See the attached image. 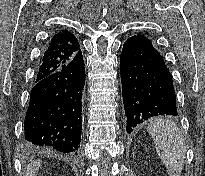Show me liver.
I'll return each mask as SVG.
<instances>
[{
    "label": "liver",
    "instance_id": "obj_1",
    "mask_svg": "<svg viewBox=\"0 0 205 176\" xmlns=\"http://www.w3.org/2000/svg\"><path fill=\"white\" fill-rule=\"evenodd\" d=\"M41 165V161H33L27 168L26 176H35L36 170Z\"/></svg>",
    "mask_w": 205,
    "mask_h": 176
}]
</instances>
